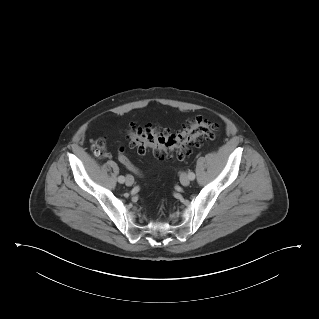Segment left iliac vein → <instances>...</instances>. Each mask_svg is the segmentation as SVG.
Returning <instances> with one entry per match:
<instances>
[{
    "label": "left iliac vein",
    "instance_id": "4c4485c4",
    "mask_svg": "<svg viewBox=\"0 0 319 319\" xmlns=\"http://www.w3.org/2000/svg\"><path fill=\"white\" fill-rule=\"evenodd\" d=\"M180 182L183 186H188L190 184V179L185 172L181 174Z\"/></svg>",
    "mask_w": 319,
    "mask_h": 319
}]
</instances>
